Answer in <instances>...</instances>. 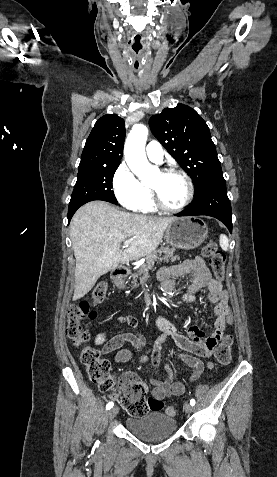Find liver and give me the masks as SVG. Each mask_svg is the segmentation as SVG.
Segmentation results:
<instances>
[{"mask_svg": "<svg viewBox=\"0 0 277 477\" xmlns=\"http://www.w3.org/2000/svg\"><path fill=\"white\" fill-rule=\"evenodd\" d=\"M175 217H153L121 211L107 202L83 205L70 223L76 259L73 301L85 296L101 275L152 254ZM133 239L122 251L121 243Z\"/></svg>", "mask_w": 277, "mask_h": 477, "instance_id": "obj_1", "label": "liver"}]
</instances>
